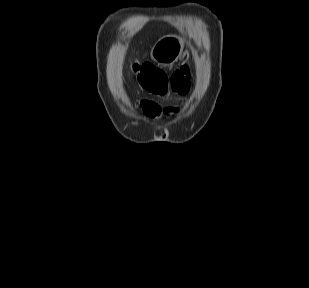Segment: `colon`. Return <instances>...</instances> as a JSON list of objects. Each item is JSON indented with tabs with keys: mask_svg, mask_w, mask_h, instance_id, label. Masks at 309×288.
Segmentation results:
<instances>
[{
	"mask_svg": "<svg viewBox=\"0 0 309 288\" xmlns=\"http://www.w3.org/2000/svg\"><path fill=\"white\" fill-rule=\"evenodd\" d=\"M191 69L184 65L170 76L154 66H149L141 76V82L150 92L164 95L169 91L185 94L190 86Z\"/></svg>",
	"mask_w": 309,
	"mask_h": 288,
	"instance_id": "obj_1",
	"label": "colon"
}]
</instances>
